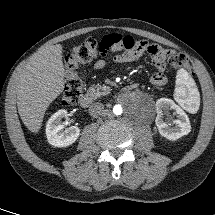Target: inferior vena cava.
<instances>
[{
	"mask_svg": "<svg viewBox=\"0 0 215 215\" xmlns=\"http://www.w3.org/2000/svg\"><path fill=\"white\" fill-rule=\"evenodd\" d=\"M104 112V105L102 103L96 102L90 105L89 113L92 117H99Z\"/></svg>",
	"mask_w": 215,
	"mask_h": 215,
	"instance_id": "602c4592",
	"label": "inferior vena cava"
}]
</instances>
